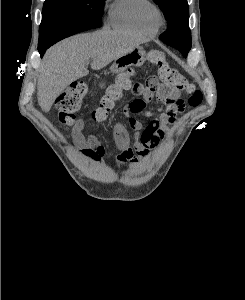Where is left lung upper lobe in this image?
Listing matches in <instances>:
<instances>
[{
  "label": "left lung upper lobe",
  "instance_id": "5c2ea615",
  "mask_svg": "<svg viewBox=\"0 0 245 300\" xmlns=\"http://www.w3.org/2000/svg\"><path fill=\"white\" fill-rule=\"evenodd\" d=\"M153 1L160 7L168 23V29L160 35L159 39L174 48L180 46L188 53L191 48V32L188 25L187 0Z\"/></svg>",
  "mask_w": 245,
  "mask_h": 300
}]
</instances>
